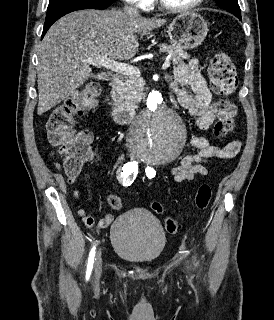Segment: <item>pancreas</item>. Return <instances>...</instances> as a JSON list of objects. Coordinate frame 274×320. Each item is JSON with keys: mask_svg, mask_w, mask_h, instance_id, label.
<instances>
[{"mask_svg": "<svg viewBox=\"0 0 274 320\" xmlns=\"http://www.w3.org/2000/svg\"><path fill=\"white\" fill-rule=\"evenodd\" d=\"M159 52H167L170 54L173 64H181L182 60H188L189 54L184 52L183 48H175V46H160ZM143 84H145L143 78L139 76H124L122 78V84L111 90V96L117 100V104L128 108V110H136L140 98L143 94Z\"/></svg>", "mask_w": 274, "mask_h": 320, "instance_id": "pancreas-1", "label": "pancreas"}]
</instances>
